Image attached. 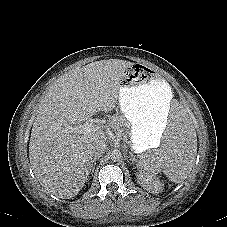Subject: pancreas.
Segmentation results:
<instances>
[{"label": "pancreas", "instance_id": "obj_1", "mask_svg": "<svg viewBox=\"0 0 227 227\" xmlns=\"http://www.w3.org/2000/svg\"><path fill=\"white\" fill-rule=\"evenodd\" d=\"M113 128L117 131H123V129L129 126V123L121 116H115L112 119Z\"/></svg>", "mask_w": 227, "mask_h": 227}]
</instances>
